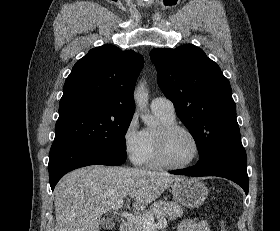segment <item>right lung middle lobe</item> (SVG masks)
<instances>
[{
  "label": "right lung middle lobe",
  "mask_w": 280,
  "mask_h": 231,
  "mask_svg": "<svg viewBox=\"0 0 280 231\" xmlns=\"http://www.w3.org/2000/svg\"><path fill=\"white\" fill-rule=\"evenodd\" d=\"M131 120L117 115L57 120L53 144H77L125 160V134Z\"/></svg>",
  "instance_id": "1"
}]
</instances>
